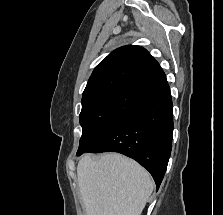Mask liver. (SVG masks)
Masks as SVG:
<instances>
[{"label": "liver", "instance_id": "liver-1", "mask_svg": "<svg viewBox=\"0 0 223 215\" xmlns=\"http://www.w3.org/2000/svg\"><path fill=\"white\" fill-rule=\"evenodd\" d=\"M77 179L87 215H140L154 189L150 173L121 153H85Z\"/></svg>", "mask_w": 223, "mask_h": 215}]
</instances>
